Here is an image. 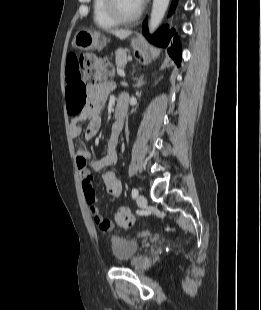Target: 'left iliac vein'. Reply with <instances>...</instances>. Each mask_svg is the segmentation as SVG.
I'll list each match as a JSON object with an SVG mask.
<instances>
[{
    "label": "left iliac vein",
    "mask_w": 261,
    "mask_h": 310,
    "mask_svg": "<svg viewBox=\"0 0 261 310\" xmlns=\"http://www.w3.org/2000/svg\"><path fill=\"white\" fill-rule=\"evenodd\" d=\"M136 201H137V204H138V206H139L140 208H144V207H146V205H147V199H146V197H145L144 195H142V194L138 195Z\"/></svg>",
    "instance_id": "left-iliac-vein-1"
}]
</instances>
